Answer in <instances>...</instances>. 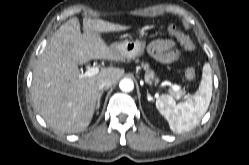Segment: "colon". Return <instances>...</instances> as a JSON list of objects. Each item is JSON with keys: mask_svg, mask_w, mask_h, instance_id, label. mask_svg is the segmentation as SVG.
Returning a JSON list of instances; mask_svg holds the SVG:
<instances>
[{"mask_svg": "<svg viewBox=\"0 0 249 165\" xmlns=\"http://www.w3.org/2000/svg\"><path fill=\"white\" fill-rule=\"evenodd\" d=\"M166 31L168 32L169 35L176 38L184 48L188 50L193 49L194 44L192 40L190 39V37L185 35L183 32H181L177 27L173 25L168 26ZM185 76L190 81L194 80L196 77V71L194 67L189 66L185 71Z\"/></svg>", "mask_w": 249, "mask_h": 165, "instance_id": "obj_1", "label": "colon"}]
</instances>
